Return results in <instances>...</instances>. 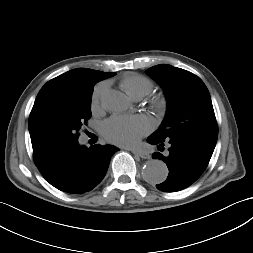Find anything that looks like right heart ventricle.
Segmentation results:
<instances>
[{
	"label": "right heart ventricle",
	"mask_w": 253,
	"mask_h": 253,
	"mask_svg": "<svg viewBox=\"0 0 253 253\" xmlns=\"http://www.w3.org/2000/svg\"><path fill=\"white\" fill-rule=\"evenodd\" d=\"M121 86L129 96L142 98L151 92L153 83L143 75L131 73L122 78Z\"/></svg>",
	"instance_id": "e07e8e85"
}]
</instances>
